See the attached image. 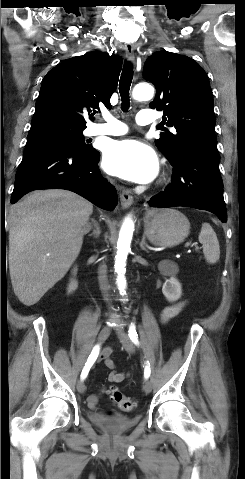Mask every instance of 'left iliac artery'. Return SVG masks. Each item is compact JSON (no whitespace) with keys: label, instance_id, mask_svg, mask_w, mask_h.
I'll return each mask as SVG.
<instances>
[{"label":"left iliac artery","instance_id":"1","mask_svg":"<svg viewBox=\"0 0 245 479\" xmlns=\"http://www.w3.org/2000/svg\"><path fill=\"white\" fill-rule=\"evenodd\" d=\"M128 335L130 337V339L132 340V342L135 344V345H139V340H138V334L136 332V328H135V325L131 323L130 327H129V331H128ZM150 366V365H149ZM148 365L145 366V369H144V377L145 379H148L149 376H150V373H151V370H150V367Z\"/></svg>","mask_w":245,"mask_h":479}]
</instances>
